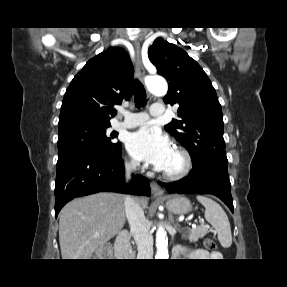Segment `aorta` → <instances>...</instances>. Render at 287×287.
Wrapping results in <instances>:
<instances>
[{
    "instance_id": "1",
    "label": "aorta",
    "mask_w": 287,
    "mask_h": 287,
    "mask_svg": "<svg viewBox=\"0 0 287 287\" xmlns=\"http://www.w3.org/2000/svg\"><path fill=\"white\" fill-rule=\"evenodd\" d=\"M148 89L152 93L165 94L168 86L164 79L158 78L153 79L148 84ZM168 239L165 229L159 226L156 232V259H169L168 254Z\"/></svg>"
}]
</instances>
